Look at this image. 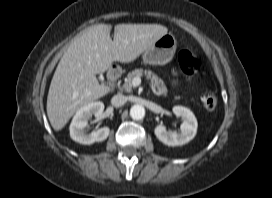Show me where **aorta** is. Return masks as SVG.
<instances>
[{"mask_svg": "<svg viewBox=\"0 0 272 198\" xmlns=\"http://www.w3.org/2000/svg\"><path fill=\"white\" fill-rule=\"evenodd\" d=\"M130 116L134 120H141L145 116V108L142 105H133L130 109Z\"/></svg>", "mask_w": 272, "mask_h": 198, "instance_id": "obj_1", "label": "aorta"}]
</instances>
